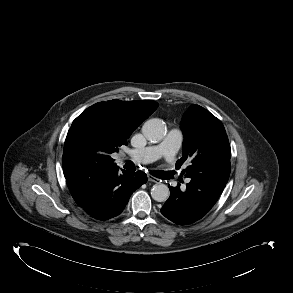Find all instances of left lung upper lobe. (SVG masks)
<instances>
[{"instance_id": "left-lung-upper-lobe-1", "label": "left lung upper lobe", "mask_w": 293, "mask_h": 293, "mask_svg": "<svg viewBox=\"0 0 293 293\" xmlns=\"http://www.w3.org/2000/svg\"><path fill=\"white\" fill-rule=\"evenodd\" d=\"M180 126L184 134L183 157L176 167L180 168L188 157H192L191 165L185 170L187 177L227 183L231 148L221 121L208 110L193 104L185 112Z\"/></svg>"}]
</instances>
